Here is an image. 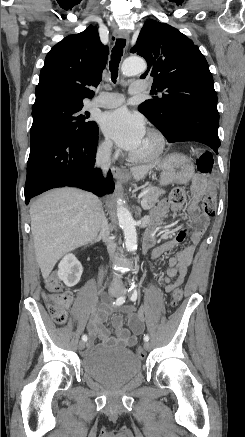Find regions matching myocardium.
I'll list each match as a JSON object with an SVG mask.
<instances>
[{"mask_svg": "<svg viewBox=\"0 0 245 437\" xmlns=\"http://www.w3.org/2000/svg\"><path fill=\"white\" fill-rule=\"evenodd\" d=\"M147 134L153 137L156 141V146L154 150L151 153L143 156H136L131 154L130 159L132 161L138 163L152 162L159 159L165 152L167 146V140L164 134L160 130L155 128H149Z\"/></svg>", "mask_w": 245, "mask_h": 437, "instance_id": "f54148a6", "label": "myocardium"}]
</instances>
